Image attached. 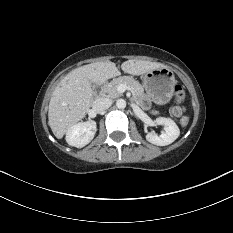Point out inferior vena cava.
Masks as SVG:
<instances>
[{
	"label": "inferior vena cava",
	"instance_id": "obj_1",
	"mask_svg": "<svg viewBox=\"0 0 233 233\" xmlns=\"http://www.w3.org/2000/svg\"><path fill=\"white\" fill-rule=\"evenodd\" d=\"M112 105V100L109 98H97L93 102V110L97 113H101L104 110L108 109Z\"/></svg>",
	"mask_w": 233,
	"mask_h": 233
}]
</instances>
